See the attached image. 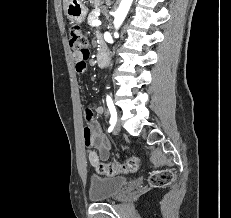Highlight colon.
I'll list each match as a JSON object with an SVG mask.
<instances>
[{
	"mask_svg": "<svg viewBox=\"0 0 231 218\" xmlns=\"http://www.w3.org/2000/svg\"><path fill=\"white\" fill-rule=\"evenodd\" d=\"M69 43L71 49L82 56H89L88 38L79 25H72L69 28ZM140 160L136 156L129 157L124 162L114 161L111 163H100L95 166L98 173L106 176L117 174L133 173L139 168ZM174 179L173 171L162 169L153 172L149 177L150 185L153 187H164L169 185Z\"/></svg>",
	"mask_w": 231,
	"mask_h": 218,
	"instance_id": "obj_1",
	"label": "colon"
}]
</instances>
